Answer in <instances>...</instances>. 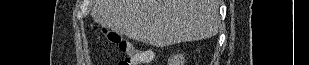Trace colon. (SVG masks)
I'll return each instance as SVG.
<instances>
[{
	"instance_id": "obj_1",
	"label": "colon",
	"mask_w": 309,
	"mask_h": 65,
	"mask_svg": "<svg viewBox=\"0 0 309 65\" xmlns=\"http://www.w3.org/2000/svg\"><path fill=\"white\" fill-rule=\"evenodd\" d=\"M116 45L121 53L119 65H139L144 63L150 56L149 51H141L130 42L117 39Z\"/></svg>"
}]
</instances>
